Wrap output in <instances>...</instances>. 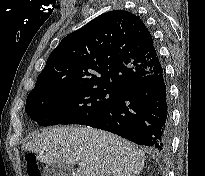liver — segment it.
<instances>
[{"label": "liver", "instance_id": "obj_1", "mask_svg": "<svg viewBox=\"0 0 205 176\" xmlns=\"http://www.w3.org/2000/svg\"><path fill=\"white\" fill-rule=\"evenodd\" d=\"M22 148L46 164L85 163L75 176H137L145 162L144 152L133 143L90 127H53Z\"/></svg>", "mask_w": 205, "mask_h": 176}]
</instances>
